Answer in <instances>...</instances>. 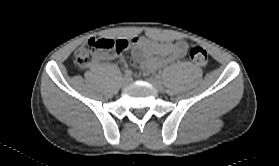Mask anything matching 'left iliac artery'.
I'll return each mask as SVG.
<instances>
[{
    "mask_svg": "<svg viewBox=\"0 0 279 166\" xmlns=\"http://www.w3.org/2000/svg\"><path fill=\"white\" fill-rule=\"evenodd\" d=\"M156 77H158V78L161 79V78H162V75H161V74H158Z\"/></svg>",
    "mask_w": 279,
    "mask_h": 166,
    "instance_id": "1",
    "label": "left iliac artery"
}]
</instances>
